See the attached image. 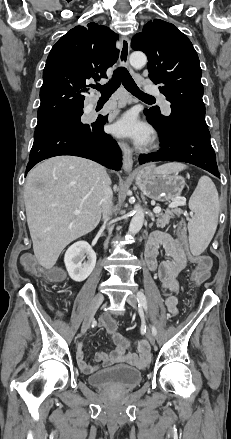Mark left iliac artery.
I'll return each mask as SVG.
<instances>
[{
	"instance_id": "44dca946",
	"label": "left iliac artery",
	"mask_w": 231,
	"mask_h": 439,
	"mask_svg": "<svg viewBox=\"0 0 231 439\" xmlns=\"http://www.w3.org/2000/svg\"><path fill=\"white\" fill-rule=\"evenodd\" d=\"M137 300L139 303V307H143L145 309V311L147 312V310H148L147 301H146V297L142 291H138ZM152 334L154 336L157 334V330L154 326H152Z\"/></svg>"
}]
</instances>
